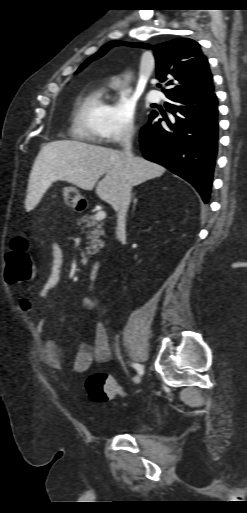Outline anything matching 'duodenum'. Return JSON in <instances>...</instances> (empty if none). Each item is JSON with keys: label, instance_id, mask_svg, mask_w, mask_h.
Instances as JSON below:
<instances>
[{"label": "duodenum", "instance_id": "410a0bca", "mask_svg": "<svg viewBox=\"0 0 247 513\" xmlns=\"http://www.w3.org/2000/svg\"><path fill=\"white\" fill-rule=\"evenodd\" d=\"M101 264L100 262H94L91 268V274H93L94 279L97 278L98 272L100 270Z\"/></svg>", "mask_w": 247, "mask_h": 513}]
</instances>
